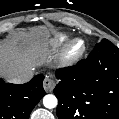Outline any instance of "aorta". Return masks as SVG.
I'll return each instance as SVG.
<instances>
[{"mask_svg": "<svg viewBox=\"0 0 119 119\" xmlns=\"http://www.w3.org/2000/svg\"><path fill=\"white\" fill-rule=\"evenodd\" d=\"M57 103V98L52 94H48L43 98V104L48 109L55 108L57 106Z\"/></svg>", "mask_w": 119, "mask_h": 119, "instance_id": "1", "label": "aorta"}]
</instances>
